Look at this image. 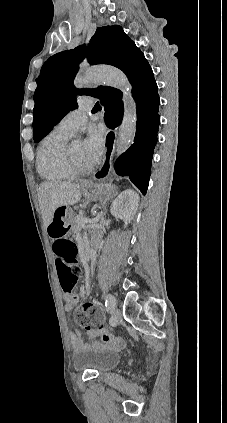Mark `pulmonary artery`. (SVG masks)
<instances>
[{"label":"pulmonary artery","mask_w":227,"mask_h":423,"mask_svg":"<svg viewBox=\"0 0 227 423\" xmlns=\"http://www.w3.org/2000/svg\"><path fill=\"white\" fill-rule=\"evenodd\" d=\"M90 103L84 101L79 104L77 110L69 112L58 124V127L70 134H75L77 130L87 122V115Z\"/></svg>","instance_id":"e3ab8cb5"}]
</instances>
